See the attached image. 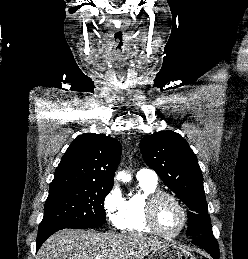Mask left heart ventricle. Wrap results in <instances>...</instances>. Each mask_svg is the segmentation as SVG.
Listing matches in <instances>:
<instances>
[{
	"instance_id": "obj_1",
	"label": "left heart ventricle",
	"mask_w": 248,
	"mask_h": 259,
	"mask_svg": "<svg viewBox=\"0 0 248 259\" xmlns=\"http://www.w3.org/2000/svg\"><path fill=\"white\" fill-rule=\"evenodd\" d=\"M156 219L160 229L168 234L176 232L182 223V214L170 198H162L156 208Z\"/></svg>"
}]
</instances>
